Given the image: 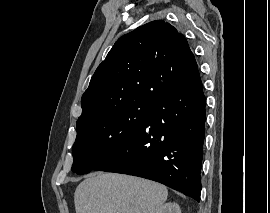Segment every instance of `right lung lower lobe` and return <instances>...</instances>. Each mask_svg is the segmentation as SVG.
<instances>
[{
  "mask_svg": "<svg viewBox=\"0 0 270 213\" xmlns=\"http://www.w3.org/2000/svg\"><path fill=\"white\" fill-rule=\"evenodd\" d=\"M205 106L197 69L158 100L140 129L95 170L154 180L199 202Z\"/></svg>",
  "mask_w": 270,
  "mask_h": 213,
  "instance_id": "98d812e1",
  "label": "right lung lower lobe"
}]
</instances>
